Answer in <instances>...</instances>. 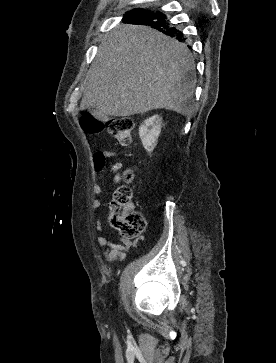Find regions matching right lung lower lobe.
Wrapping results in <instances>:
<instances>
[{"label":"right lung lower lobe","mask_w":276,"mask_h":363,"mask_svg":"<svg viewBox=\"0 0 276 363\" xmlns=\"http://www.w3.org/2000/svg\"><path fill=\"white\" fill-rule=\"evenodd\" d=\"M123 21L132 24L149 25L153 28L159 29L164 34L175 37L179 41H183V33L175 25L170 24L166 20V15L161 11H145L137 16L124 17Z\"/></svg>","instance_id":"right-lung-lower-lobe-1"}]
</instances>
